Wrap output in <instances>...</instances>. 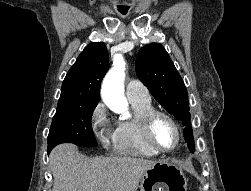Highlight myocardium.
<instances>
[{
  "label": "myocardium",
  "instance_id": "myocardium-1",
  "mask_svg": "<svg viewBox=\"0 0 251 191\" xmlns=\"http://www.w3.org/2000/svg\"><path fill=\"white\" fill-rule=\"evenodd\" d=\"M158 117L167 118L173 124L179 135V142L172 151L160 150L153 139V133H152L153 124ZM142 130L145 142L157 155L173 154L177 152L184 144L185 136L181 126L171 114L165 111L153 109L149 111L147 114H145L142 118Z\"/></svg>",
  "mask_w": 251,
  "mask_h": 191
}]
</instances>
